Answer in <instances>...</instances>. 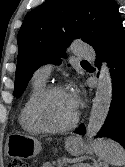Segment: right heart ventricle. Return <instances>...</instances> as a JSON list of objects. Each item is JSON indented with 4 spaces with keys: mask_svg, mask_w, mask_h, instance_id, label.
<instances>
[{
    "mask_svg": "<svg viewBox=\"0 0 125 167\" xmlns=\"http://www.w3.org/2000/svg\"><path fill=\"white\" fill-rule=\"evenodd\" d=\"M45 82L33 80L32 88L24 101L18 115L21 127L30 133H40L41 131L34 125L31 119V107L37 96L45 89Z\"/></svg>",
    "mask_w": 125,
    "mask_h": 167,
    "instance_id": "obj_1",
    "label": "right heart ventricle"
}]
</instances>
